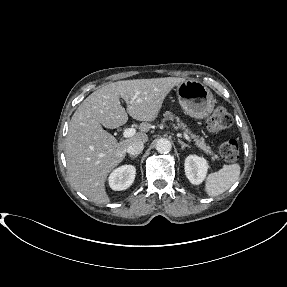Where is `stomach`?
Segmentation results:
<instances>
[{"instance_id":"1","label":"stomach","mask_w":287,"mask_h":287,"mask_svg":"<svg viewBox=\"0 0 287 287\" xmlns=\"http://www.w3.org/2000/svg\"><path fill=\"white\" fill-rule=\"evenodd\" d=\"M179 103L184 112L196 119L208 117L215 106L211 91L199 81L186 80L176 87Z\"/></svg>"}]
</instances>
